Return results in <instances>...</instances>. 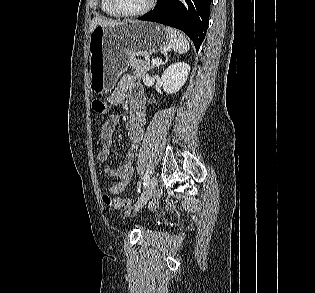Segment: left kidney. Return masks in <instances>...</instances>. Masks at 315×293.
Segmentation results:
<instances>
[{"instance_id": "5707ae66", "label": "left kidney", "mask_w": 315, "mask_h": 293, "mask_svg": "<svg viewBox=\"0 0 315 293\" xmlns=\"http://www.w3.org/2000/svg\"><path fill=\"white\" fill-rule=\"evenodd\" d=\"M190 66L184 62L174 63L162 74V85L165 92L173 94L178 92L185 84Z\"/></svg>"}]
</instances>
